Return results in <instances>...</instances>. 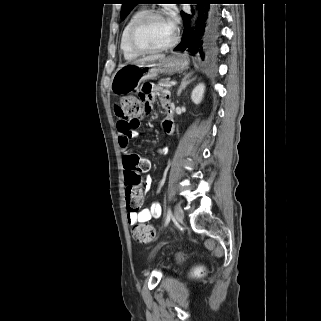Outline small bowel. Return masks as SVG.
Masks as SVG:
<instances>
[{
    "label": "small bowel",
    "instance_id": "small-bowel-1",
    "mask_svg": "<svg viewBox=\"0 0 321 321\" xmlns=\"http://www.w3.org/2000/svg\"><path fill=\"white\" fill-rule=\"evenodd\" d=\"M142 87H139L138 91H134V98H143L145 102L149 104H154V96L157 95L161 101L163 108L166 111V117L162 122V128L165 133L170 134L173 131V115H172V102L170 100V95L167 90L157 88L152 85L151 80H142ZM139 124L135 125L130 122L124 121L118 117L116 127H117V137L118 144L123 153V165L127 160L134 155H137L129 147V142L131 139L138 137L139 132L137 131ZM160 153L164 150H159ZM151 178L147 177L145 179L146 187L151 185ZM162 208L159 203H153L150 208L142 209L140 211H128L127 213V223L130 226H136L138 224H143L151 219H157L161 216Z\"/></svg>",
    "mask_w": 321,
    "mask_h": 321
}]
</instances>
